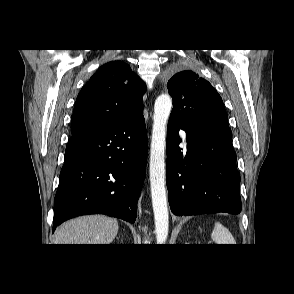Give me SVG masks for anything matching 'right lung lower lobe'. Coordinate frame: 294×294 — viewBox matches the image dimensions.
Returning a JSON list of instances; mask_svg holds the SVG:
<instances>
[{
  "instance_id": "obj_1",
  "label": "right lung lower lobe",
  "mask_w": 294,
  "mask_h": 294,
  "mask_svg": "<svg viewBox=\"0 0 294 294\" xmlns=\"http://www.w3.org/2000/svg\"><path fill=\"white\" fill-rule=\"evenodd\" d=\"M146 155L143 108L111 126L72 135L54 200L53 231L70 218L96 213L135 222Z\"/></svg>"
}]
</instances>
